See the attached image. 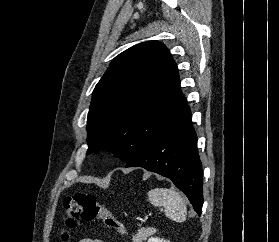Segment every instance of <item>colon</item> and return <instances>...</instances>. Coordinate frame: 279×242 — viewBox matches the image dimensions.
<instances>
[{
  "label": "colon",
  "instance_id": "colon-1",
  "mask_svg": "<svg viewBox=\"0 0 279 242\" xmlns=\"http://www.w3.org/2000/svg\"><path fill=\"white\" fill-rule=\"evenodd\" d=\"M78 219L83 221L99 219L107 228L127 234L125 225L107 207L101 205L92 194L75 193L64 199L62 214L64 230L61 234L64 242L69 239L68 231L76 226Z\"/></svg>",
  "mask_w": 279,
  "mask_h": 242
}]
</instances>
